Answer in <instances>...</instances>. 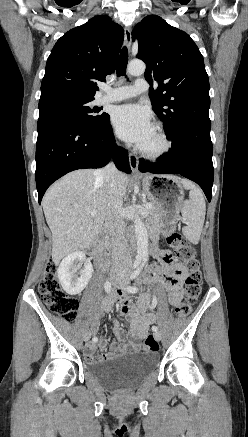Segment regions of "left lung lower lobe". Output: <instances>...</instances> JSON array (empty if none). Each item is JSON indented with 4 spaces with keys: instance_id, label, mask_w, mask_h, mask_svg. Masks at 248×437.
Wrapping results in <instances>:
<instances>
[{
    "instance_id": "1",
    "label": "left lung lower lobe",
    "mask_w": 248,
    "mask_h": 437,
    "mask_svg": "<svg viewBox=\"0 0 248 437\" xmlns=\"http://www.w3.org/2000/svg\"><path fill=\"white\" fill-rule=\"evenodd\" d=\"M210 127V119L184 123L167 136L172 141L170 152L154 162H146L141 158L139 170L155 174H180L196 182L210 202L214 177Z\"/></svg>"
}]
</instances>
